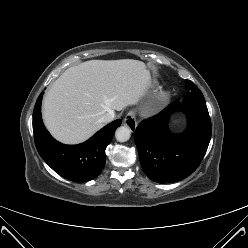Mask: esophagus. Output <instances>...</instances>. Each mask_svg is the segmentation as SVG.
Returning <instances> with one entry per match:
<instances>
[{"instance_id":"1","label":"esophagus","mask_w":248,"mask_h":248,"mask_svg":"<svg viewBox=\"0 0 248 248\" xmlns=\"http://www.w3.org/2000/svg\"><path fill=\"white\" fill-rule=\"evenodd\" d=\"M124 125L127 126L132 132L136 130L137 121L134 111H129L124 118Z\"/></svg>"}]
</instances>
